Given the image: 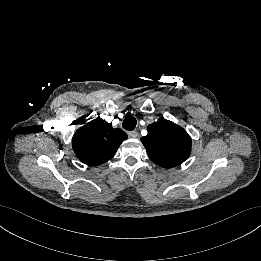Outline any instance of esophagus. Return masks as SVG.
I'll list each match as a JSON object with an SVG mask.
<instances>
[{"mask_svg":"<svg viewBox=\"0 0 261 261\" xmlns=\"http://www.w3.org/2000/svg\"><path fill=\"white\" fill-rule=\"evenodd\" d=\"M128 135L132 138H137L139 136L138 132L136 130L129 131Z\"/></svg>","mask_w":261,"mask_h":261,"instance_id":"1","label":"esophagus"}]
</instances>
